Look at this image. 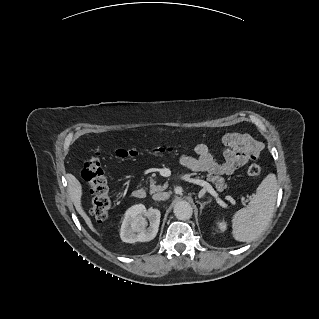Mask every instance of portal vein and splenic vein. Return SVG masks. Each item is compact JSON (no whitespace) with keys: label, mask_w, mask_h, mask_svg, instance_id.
Instances as JSON below:
<instances>
[{"label":"portal vein and splenic vein","mask_w":319,"mask_h":319,"mask_svg":"<svg viewBox=\"0 0 319 319\" xmlns=\"http://www.w3.org/2000/svg\"><path fill=\"white\" fill-rule=\"evenodd\" d=\"M184 179L188 182L203 186L204 190L209 192L216 199L217 203L220 206L226 207V204L219 198L218 193L214 190V188L208 182L198 178L185 177Z\"/></svg>","instance_id":"portal-vein-and-splenic-vein-1"}]
</instances>
